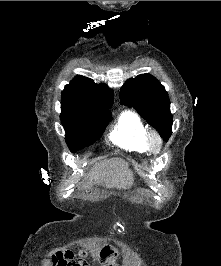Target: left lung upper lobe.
I'll list each match as a JSON object with an SVG mask.
<instances>
[{
	"mask_svg": "<svg viewBox=\"0 0 221 266\" xmlns=\"http://www.w3.org/2000/svg\"><path fill=\"white\" fill-rule=\"evenodd\" d=\"M122 104L134 107L168 141L172 134L173 116L168 93L150 74L128 79L120 89Z\"/></svg>",
	"mask_w": 221,
	"mask_h": 266,
	"instance_id": "left-lung-upper-lobe-1",
	"label": "left lung upper lobe"
}]
</instances>
